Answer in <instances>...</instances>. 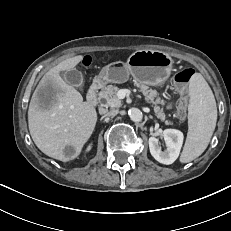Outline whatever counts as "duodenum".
<instances>
[{"mask_svg": "<svg viewBox=\"0 0 231 231\" xmlns=\"http://www.w3.org/2000/svg\"><path fill=\"white\" fill-rule=\"evenodd\" d=\"M103 85V81L97 79L91 84L89 91L87 93V102L91 106H96L98 102V92Z\"/></svg>", "mask_w": 231, "mask_h": 231, "instance_id": "1", "label": "duodenum"}]
</instances>
